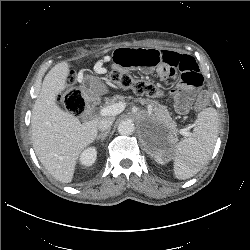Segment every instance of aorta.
<instances>
[{
	"label": "aorta",
	"instance_id": "obj_1",
	"mask_svg": "<svg viewBox=\"0 0 250 250\" xmlns=\"http://www.w3.org/2000/svg\"><path fill=\"white\" fill-rule=\"evenodd\" d=\"M117 129L121 135H131L133 134L135 127L133 122H131L130 120H125L119 123Z\"/></svg>",
	"mask_w": 250,
	"mask_h": 250
}]
</instances>
